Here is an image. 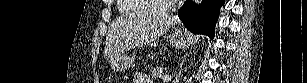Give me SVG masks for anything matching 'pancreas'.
I'll return each mask as SVG.
<instances>
[{"instance_id":"obj_1","label":"pancreas","mask_w":307,"mask_h":83,"mask_svg":"<svg viewBox=\"0 0 307 83\" xmlns=\"http://www.w3.org/2000/svg\"><path fill=\"white\" fill-rule=\"evenodd\" d=\"M165 75V70L161 67L154 68L152 71V77L155 79H162Z\"/></svg>"}]
</instances>
